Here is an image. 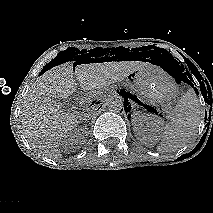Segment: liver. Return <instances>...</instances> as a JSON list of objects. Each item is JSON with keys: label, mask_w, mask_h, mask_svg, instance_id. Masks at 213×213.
I'll list each match as a JSON object with an SVG mask.
<instances>
[{"label": "liver", "mask_w": 213, "mask_h": 213, "mask_svg": "<svg viewBox=\"0 0 213 213\" xmlns=\"http://www.w3.org/2000/svg\"><path fill=\"white\" fill-rule=\"evenodd\" d=\"M151 66L136 61L104 62L80 64L73 71L72 62H65L44 72L24 97L21 110L22 129L31 147L48 158H61L59 142L77 127L80 116L65 112L55 99H67L77 91L74 74L83 90H94Z\"/></svg>", "instance_id": "obj_1"}]
</instances>
